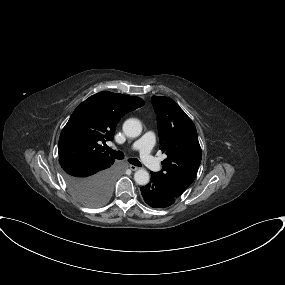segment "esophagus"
Returning a JSON list of instances; mask_svg holds the SVG:
<instances>
[{"mask_svg": "<svg viewBox=\"0 0 285 285\" xmlns=\"http://www.w3.org/2000/svg\"><path fill=\"white\" fill-rule=\"evenodd\" d=\"M129 168H130L132 171L138 170V167L135 166V165H130Z\"/></svg>", "mask_w": 285, "mask_h": 285, "instance_id": "obj_1", "label": "esophagus"}]
</instances>
